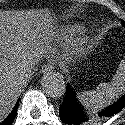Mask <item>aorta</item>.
I'll use <instances>...</instances> for the list:
<instances>
[{
  "instance_id": "aorta-1",
  "label": "aorta",
  "mask_w": 125,
  "mask_h": 125,
  "mask_svg": "<svg viewBox=\"0 0 125 125\" xmlns=\"http://www.w3.org/2000/svg\"><path fill=\"white\" fill-rule=\"evenodd\" d=\"M41 84L44 92L52 98H59L66 92L65 82L58 74L49 73L44 75Z\"/></svg>"
}]
</instances>
